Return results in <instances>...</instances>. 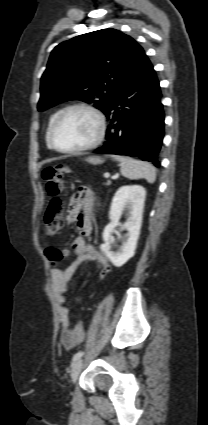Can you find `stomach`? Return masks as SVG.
<instances>
[{
  "label": "stomach",
  "mask_w": 208,
  "mask_h": 425,
  "mask_svg": "<svg viewBox=\"0 0 208 425\" xmlns=\"http://www.w3.org/2000/svg\"><path fill=\"white\" fill-rule=\"evenodd\" d=\"M86 161L91 163V164H100L103 162V160L101 158L98 157H88L86 158Z\"/></svg>",
  "instance_id": "obj_1"
}]
</instances>
